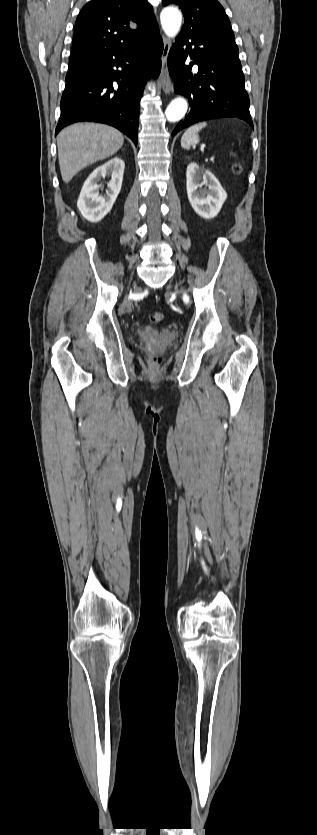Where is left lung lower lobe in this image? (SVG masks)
Returning <instances> with one entry per match:
<instances>
[{"instance_id":"obj_1","label":"left lung lower lobe","mask_w":317,"mask_h":835,"mask_svg":"<svg viewBox=\"0 0 317 835\" xmlns=\"http://www.w3.org/2000/svg\"><path fill=\"white\" fill-rule=\"evenodd\" d=\"M184 45L188 49L183 50ZM192 45L195 47L191 50ZM187 57L192 60L189 66L184 64ZM194 64L198 65V73L192 76ZM168 68L174 77L175 92L185 95L191 106V112L172 135L196 122L222 117L239 118L254 128L236 44L212 35L177 37L169 53Z\"/></svg>"}]
</instances>
